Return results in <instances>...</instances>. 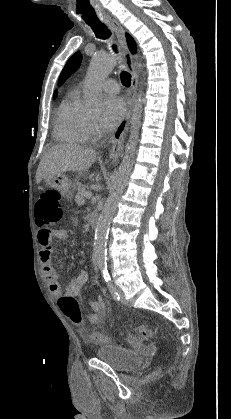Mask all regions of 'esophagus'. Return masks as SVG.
Masks as SVG:
<instances>
[{"mask_svg": "<svg viewBox=\"0 0 231 419\" xmlns=\"http://www.w3.org/2000/svg\"><path fill=\"white\" fill-rule=\"evenodd\" d=\"M105 22L108 26L115 32L116 37L120 43V46L123 51V57L125 66L131 74V86L128 91V99H127V111L124 118L119 123L118 127L114 131L113 135L109 140L110 149H109V158L110 159H117L123 152L124 148V141L129 127V120L132 114V108L134 104V99L137 91L138 86V75L134 63V57L130 53L127 41L125 37V30L123 26L114 18L107 16L105 18Z\"/></svg>", "mask_w": 231, "mask_h": 419, "instance_id": "1", "label": "esophagus"}]
</instances>
